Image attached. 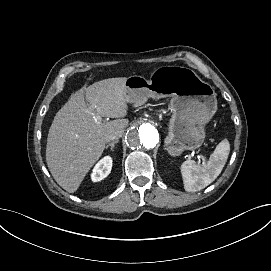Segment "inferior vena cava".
Segmentation results:
<instances>
[{"label": "inferior vena cava", "instance_id": "inferior-vena-cava-1", "mask_svg": "<svg viewBox=\"0 0 271 271\" xmlns=\"http://www.w3.org/2000/svg\"><path fill=\"white\" fill-rule=\"evenodd\" d=\"M122 136V131L112 133L106 137V141H118V139Z\"/></svg>", "mask_w": 271, "mask_h": 271}]
</instances>
